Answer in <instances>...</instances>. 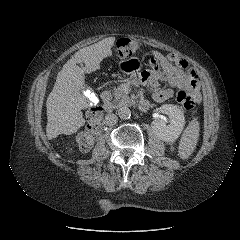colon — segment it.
<instances>
[{
  "instance_id": "colon-1",
  "label": "colon",
  "mask_w": 240,
  "mask_h": 240,
  "mask_svg": "<svg viewBox=\"0 0 240 240\" xmlns=\"http://www.w3.org/2000/svg\"><path fill=\"white\" fill-rule=\"evenodd\" d=\"M141 48L139 41L131 38H121L116 43V51L120 56H131ZM176 101L187 111H191L195 107V98L192 94L185 90L177 92ZM88 127L85 131H81L75 135V141L82 151L91 149L97 140L101 130L102 111L99 106L92 107L88 111Z\"/></svg>"
}]
</instances>
